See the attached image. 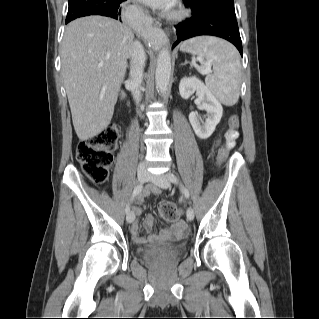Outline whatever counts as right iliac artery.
Instances as JSON below:
<instances>
[{
    "label": "right iliac artery",
    "instance_id": "obj_1",
    "mask_svg": "<svg viewBox=\"0 0 319 319\" xmlns=\"http://www.w3.org/2000/svg\"><path fill=\"white\" fill-rule=\"evenodd\" d=\"M142 188H143V186H142V184H139V185H137L135 188H134V190H133V192H132V195H131V198H130V201H132L133 199H134V197L135 196H137L141 191H142ZM126 213H129V211H130V206H129V204L126 206Z\"/></svg>",
    "mask_w": 319,
    "mask_h": 319
}]
</instances>
